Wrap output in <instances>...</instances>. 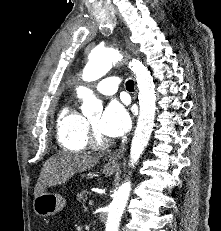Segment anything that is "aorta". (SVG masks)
<instances>
[{
	"instance_id": "obj_1",
	"label": "aorta",
	"mask_w": 221,
	"mask_h": 231,
	"mask_svg": "<svg viewBox=\"0 0 221 231\" xmlns=\"http://www.w3.org/2000/svg\"><path fill=\"white\" fill-rule=\"evenodd\" d=\"M122 53L113 48H94L89 54V61L83 70L82 78L86 82H92L103 77L115 63L122 62ZM129 67L133 71L137 87L140 112L137 126L131 143L130 165L134 167L143 154L154 126L156 112V92L153 78L147 67L139 60L132 59ZM78 98L83 100V113L101 108V102L93 92L86 87H78ZM131 192V182L122 183L109 206L105 231H118L121 217L125 210Z\"/></svg>"
}]
</instances>
